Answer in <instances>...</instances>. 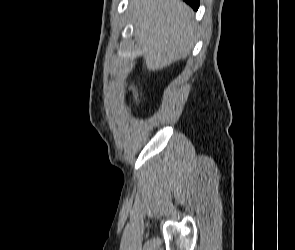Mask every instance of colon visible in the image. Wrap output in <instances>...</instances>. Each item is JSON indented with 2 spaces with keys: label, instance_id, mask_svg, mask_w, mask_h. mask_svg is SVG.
<instances>
[{
  "label": "colon",
  "instance_id": "1",
  "mask_svg": "<svg viewBox=\"0 0 295 250\" xmlns=\"http://www.w3.org/2000/svg\"><path fill=\"white\" fill-rule=\"evenodd\" d=\"M134 100L136 103L139 102V94L136 91L134 92Z\"/></svg>",
  "mask_w": 295,
  "mask_h": 250
}]
</instances>
